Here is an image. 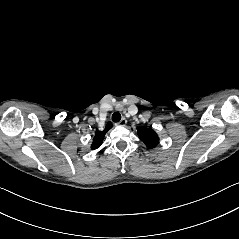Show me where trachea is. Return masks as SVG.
I'll use <instances>...</instances> for the list:
<instances>
[{
    "label": "trachea",
    "mask_w": 239,
    "mask_h": 239,
    "mask_svg": "<svg viewBox=\"0 0 239 239\" xmlns=\"http://www.w3.org/2000/svg\"><path fill=\"white\" fill-rule=\"evenodd\" d=\"M121 120V115L118 112L113 113L112 115V121L113 122H119Z\"/></svg>",
    "instance_id": "3493384b"
}]
</instances>
